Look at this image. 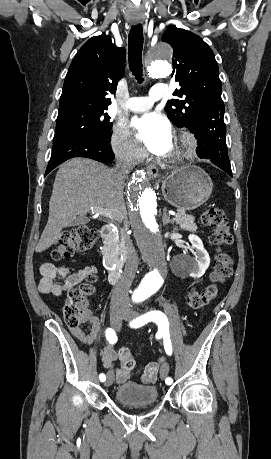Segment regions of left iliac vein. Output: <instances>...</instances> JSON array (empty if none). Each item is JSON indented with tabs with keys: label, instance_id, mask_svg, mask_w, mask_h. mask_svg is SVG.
Segmentation results:
<instances>
[{
	"label": "left iliac vein",
	"instance_id": "4c4485c4",
	"mask_svg": "<svg viewBox=\"0 0 271 459\" xmlns=\"http://www.w3.org/2000/svg\"><path fill=\"white\" fill-rule=\"evenodd\" d=\"M138 315L139 314L136 313L135 311L128 310L126 312V314L124 315V319L127 320V321H130L133 318L137 317ZM168 373H169V365L166 362H164L162 364L161 368H160V376H161V378L167 377Z\"/></svg>",
	"mask_w": 271,
	"mask_h": 459
}]
</instances>
